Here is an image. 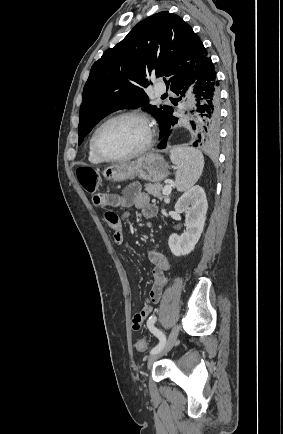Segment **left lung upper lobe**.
<instances>
[{
  "mask_svg": "<svg viewBox=\"0 0 283 434\" xmlns=\"http://www.w3.org/2000/svg\"><path fill=\"white\" fill-rule=\"evenodd\" d=\"M207 59L199 36L178 15L163 11L139 22L93 64L83 90L78 144L100 120L123 108L142 106L158 119L162 132L172 107L149 104L145 89L151 78H167L171 89Z\"/></svg>",
  "mask_w": 283,
  "mask_h": 434,
  "instance_id": "obj_1",
  "label": "left lung upper lobe"
}]
</instances>
